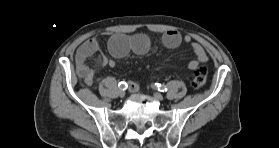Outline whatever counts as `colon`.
<instances>
[{
  "mask_svg": "<svg viewBox=\"0 0 279 148\" xmlns=\"http://www.w3.org/2000/svg\"><path fill=\"white\" fill-rule=\"evenodd\" d=\"M208 70L205 66L196 68L192 79V86L195 89H200L205 86L207 82Z\"/></svg>",
  "mask_w": 279,
  "mask_h": 148,
  "instance_id": "5ec220e1",
  "label": "colon"
}]
</instances>
